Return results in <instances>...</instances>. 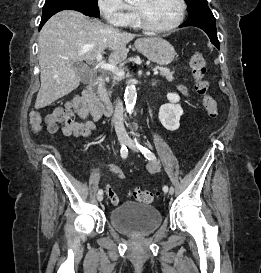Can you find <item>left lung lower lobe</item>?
<instances>
[{"label": "left lung lower lobe", "mask_w": 261, "mask_h": 273, "mask_svg": "<svg viewBox=\"0 0 261 273\" xmlns=\"http://www.w3.org/2000/svg\"><path fill=\"white\" fill-rule=\"evenodd\" d=\"M186 26H196L203 29L211 42L219 49L216 21L208 6L198 8L189 14L188 19L180 27Z\"/></svg>", "instance_id": "0a47b994"}]
</instances>
